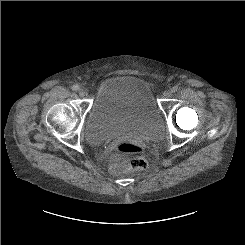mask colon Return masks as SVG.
Returning <instances> with one entry per match:
<instances>
[{"label": "colon", "mask_w": 245, "mask_h": 245, "mask_svg": "<svg viewBox=\"0 0 245 245\" xmlns=\"http://www.w3.org/2000/svg\"><path fill=\"white\" fill-rule=\"evenodd\" d=\"M115 149L121 154H132L134 157L125 163L113 164L110 167L111 173L120 174L123 171H141L147 168L148 162L144 156V148L141 145L122 139L116 143Z\"/></svg>", "instance_id": "1"}]
</instances>
